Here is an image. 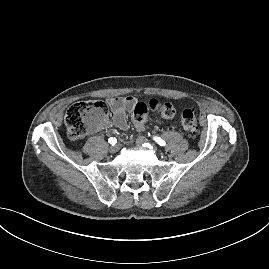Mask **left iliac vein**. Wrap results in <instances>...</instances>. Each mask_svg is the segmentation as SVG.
<instances>
[{"label": "left iliac vein", "mask_w": 269, "mask_h": 269, "mask_svg": "<svg viewBox=\"0 0 269 269\" xmlns=\"http://www.w3.org/2000/svg\"><path fill=\"white\" fill-rule=\"evenodd\" d=\"M147 142H148V139L145 138V137H142V136H140V137H138V138L136 139V144H137L138 146H141V145H143L144 143H147Z\"/></svg>", "instance_id": "left-iliac-vein-1"}]
</instances>
